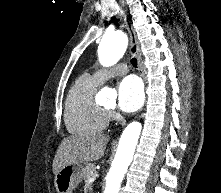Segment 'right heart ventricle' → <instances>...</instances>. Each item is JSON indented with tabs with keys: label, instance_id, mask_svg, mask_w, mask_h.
<instances>
[{
	"label": "right heart ventricle",
	"instance_id": "right-heart-ventricle-1",
	"mask_svg": "<svg viewBox=\"0 0 221 193\" xmlns=\"http://www.w3.org/2000/svg\"><path fill=\"white\" fill-rule=\"evenodd\" d=\"M99 83L92 77H79L65 99V123L72 134H90L106 128L109 116L95 100Z\"/></svg>",
	"mask_w": 221,
	"mask_h": 193
}]
</instances>
